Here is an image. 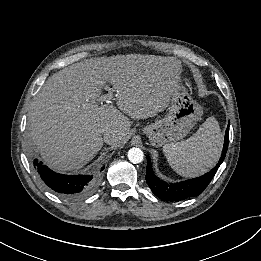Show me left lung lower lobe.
Instances as JSON below:
<instances>
[{
	"label": "left lung lower lobe",
	"instance_id": "obj_1",
	"mask_svg": "<svg viewBox=\"0 0 261 261\" xmlns=\"http://www.w3.org/2000/svg\"><path fill=\"white\" fill-rule=\"evenodd\" d=\"M229 126V125H228ZM229 144V128L226 129L222 154L217 165L208 173L198 178L168 184L160 180L153 172L151 159L147 155L146 181L151 191L163 201H181L201 194L208 186L226 156Z\"/></svg>",
	"mask_w": 261,
	"mask_h": 261
}]
</instances>
